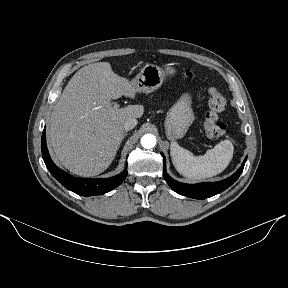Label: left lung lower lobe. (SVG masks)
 I'll list each match as a JSON object with an SVG mask.
<instances>
[{
    "label": "left lung lower lobe",
    "mask_w": 288,
    "mask_h": 288,
    "mask_svg": "<svg viewBox=\"0 0 288 288\" xmlns=\"http://www.w3.org/2000/svg\"><path fill=\"white\" fill-rule=\"evenodd\" d=\"M161 155L163 156L164 159L163 162L164 178L168 183V185L171 187V189L180 195H184L195 199H206L208 197H212L230 187L239 178L240 174L243 171L245 162L247 160L246 157L241 167L237 170V172L222 181L199 183V184H186L174 180L167 174L165 156L163 155V153H161Z\"/></svg>",
    "instance_id": "1"
}]
</instances>
